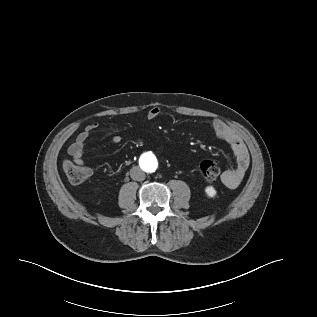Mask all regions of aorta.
Wrapping results in <instances>:
<instances>
[{"label":"aorta","mask_w":317,"mask_h":317,"mask_svg":"<svg viewBox=\"0 0 317 317\" xmlns=\"http://www.w3.org/2000/svg\"><path fill=\"white\" fill-rule=\"evenodd\" d=\"M140 162L148 172H153L156 169V158L152 154L148 156H142Z\"/></svg>","instance_id":"1"}]
</instances>
